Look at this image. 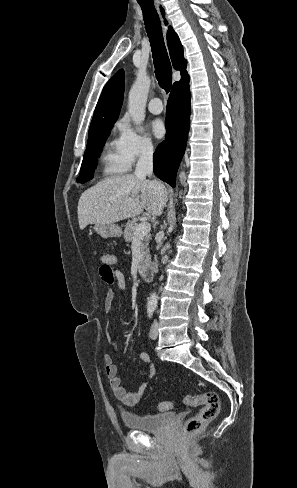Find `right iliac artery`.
<instances>
[{
    "label": "right iliac artery",
    "mask_w": 297,
    "mask_h": 488,
    "mask_svg": "<svg viewBox=\"0 0 297 488\" xmlns=\"http://www.w3.org/2000/svg\"><path fill=\"white\" fill-rule=\"evenodd\" d=\"M153 312H154V307H148V309H147V313H148V317H149V318H151V317H152Z\"/></svg>",
    "instance_id": "82829eb1"
}]
</instances>
